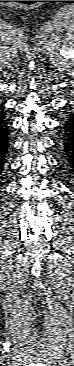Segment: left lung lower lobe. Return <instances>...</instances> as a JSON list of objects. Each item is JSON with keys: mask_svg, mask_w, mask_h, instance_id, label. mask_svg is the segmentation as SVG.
<instances>
[{"mask_svg": "<svg viewBox=\"0 0 74 366\" xmlns=\"http://www.w3.org/2000/svg\"><path fill=\"white\" fill-rule=\"evenodd\" d=\"M68 110L67 108H64ZM72 111H67V119L61 127V140L59 147L66 157L67 164L74 169V107H70Z\"/></svg>", "mask_w": 74, "mask_h": 366, "instance_id": "obj_1", "label": "left lung lower lobe"}]
</instances>
